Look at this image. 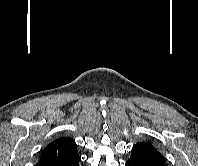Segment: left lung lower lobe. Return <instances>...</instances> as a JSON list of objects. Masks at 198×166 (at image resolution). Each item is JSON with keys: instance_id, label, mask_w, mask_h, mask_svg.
<instances>
[{"instance_id": "0a47b994", "label": "left lung lower lobe", "mask_w": 198, "mask_h": 166, "mask_svg": "<svg viewBox=\"0 0 198 166\" xmlns=\"http://www.w3.org/2000/svg\"><path fill=\"white\" fill-rule=\"evenodd\" d=\"M126 166H158V165L149 164V163L143 162L135 157L130 156L129 160L126 161Z\"/></svg>"}]
</instances>
